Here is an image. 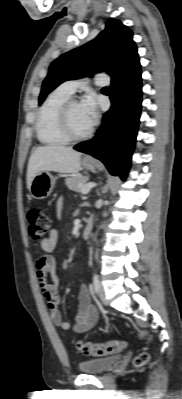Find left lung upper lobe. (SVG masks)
Masks as SVG:
<instances>
[{
  "label": "left lung upper lobe",
  "mask_w": 182,
  "mask_h": 399,
  "mask_svg": "<svg viewBox=\"0 0 182 399\" xmlns=\"http://www.w3.org/2000/svg\"><path fill=\"white\" fill-rule=\"evenodd\" d=\"M132 31L119 20L106 22V28L94 40L62 54L52 62L42 84L39 105L64 81L86 74L107 71L115 80L139 64Z\"/></svg>",
  "instance_id": "1"
}]
</instances>
